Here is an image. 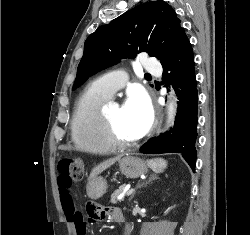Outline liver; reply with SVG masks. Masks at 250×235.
I'll list each match as a JSON object with an SVG mask.
<instances>
[{"mask_svg": "<svg viewBox=\"0 0 250 235\" xmlns=\"http://www.w3.org/2000/svg\"><path fill=\"white\" fill-rule=\"evenodd\" d=\"M122 156H117L115 158H111L109 160H106L99 164L98 166L94 167L90 173L89 181H91L93 178H95L97 175L105 171L107 168L112 166L116 161L120 160Z\"/></svg>", "mask_w": 250, "mask_h": 235, "instance_id": "6515ba94", "label": "liver"}]
</instances>
